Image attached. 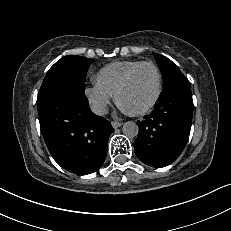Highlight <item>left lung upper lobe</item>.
Segmentation results:
<instances>
[{"label":"left lung upper lobe","instance_id":"1","mask_svg":"<svg viewBox=\"0 0 231 231\" xmlns=\"http://www.w3.org/2000/svg\"><path fill=\"white\" fill-rule=\"evenodd\" d=\"M153 55L162 72L164 85L177 77L184 76L180 69L170 59L156 53H153Z\"/></svg>","mask_w":231,"mask_h":231}]
</instances>
